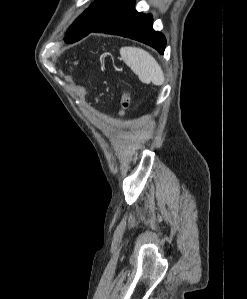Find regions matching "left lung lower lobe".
<instances>
[{
  "label": "left lung lower lobe",
  "instance_id": "obj_1",
  "mask_svg": "<svg viewBox=\"0 0 247 299\" xmlns=\"http://www.w3.org/2000/svg\"><path fill=\"white\" fill-rule=\"evenodd\" d=\"M152 21L153 18L150 14L137 12L134 8V1L127 0L118 10L83 37L90 32L119 35L143 42L163 54L166 39L163 34L153 30Z\"/></svg>",
  "mask_w": 247,
  "mask_h": 299
}]
</instances>
